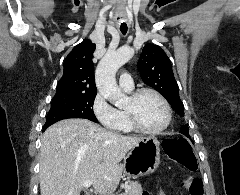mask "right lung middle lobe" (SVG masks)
<instances>
[{"mask_svg": "<svg viewBox=\"0 0 240 195\" xmlns=\"http://www.w3.org/2000/svg\"><path fill=\"white\" fill-rule=\"evenodd\" d=\"M95 97L96 95L55 96L43 130L57 121L68 118H85L98 122L92 108Z\"/></svg>", "mask_w": 240, "mask_h": 195, "instance_id": "dd1d6c3e", "label": "right lung middle lobe"}]
</instances>
